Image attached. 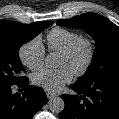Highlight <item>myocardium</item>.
Returning <instances> with one entry per match:
<instances>
[{
    "label": "myocardium",
    "instance_id": "f54148a6",
    "mask_svg": "<svg viewBox=\"0 0 119 119\" xmlns=\"http://www.w3.org/2000/svg\"><path fill=\"white\" fill-rule=\"evenodd\" d=\"M81 48L85 49L86 58L81 67L74 72V75L77 77L84 75L93 63L95 56V45L93 41L90 38L80 36L70 46L60 52L61 55L71 58L75 56Z\"/></svg>",
    "mask_w": 119,
    "mask_h": 119
}]
</instances>
